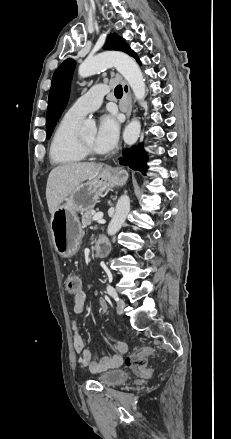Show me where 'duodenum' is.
<instances>
[{
  "instance_id": "obj_1",
  "label": "duodenum",
  "mask_w": 231,
  "mask_h": 439,
  "mask_svg": "<svg viewBox=\"0 0 231 439\" xmlns=\"http://www.w3.org/2000/svg\"><path fill=\"white\" fill-rule=\"evenodd\" d=\"M111 245L106 238H100L95 245V254L97 257H105L110 252Z\"/></svg>"
}]
</instances>
